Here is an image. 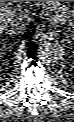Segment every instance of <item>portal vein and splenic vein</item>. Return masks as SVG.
<instances>
[{"label": "portal vein and splenic vein", "mask_w": 74, "mask_h": 122, "mask_svg": "<svg viewBox=\"0 0 74 122\" xmlns=\"http://www.w3.org/2000/svg\"><path fill=\"white\" fill-rule=\"evenodd\" d=\"M10 5L11 4L9 2H6V3H4V6H2V9H9Z\"/></svg>", "instance_id": "portal-vein-and-splenic-vein-1"}]
</instances>
